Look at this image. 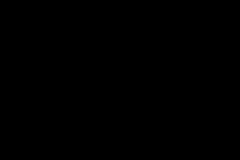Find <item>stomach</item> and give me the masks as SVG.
<instances>
[{
    "instance_id": "1",
    "label": "stomach",
    "mask_w": 240,
    "mask_h": 160,
    "mask_svg": "<svg viewBox=\"0 0 240 160\" xmlns=\"http://www.w3.org/2000/svg\"><path fill=\"white\" fill-rule=\"evenodd\" d=\"M110 44L111 47L125 53L136 52L153 63L157 61L158 36L147 29L135 27L131 21L116 27L111 35Z\"/></svg>"
}]
</instances>
